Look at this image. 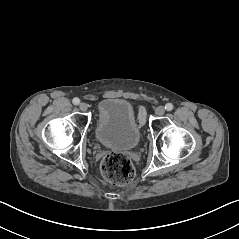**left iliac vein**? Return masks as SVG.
<instances>
[{"label":"left iliac vein","mask_w":239,"mask_h":239,"mask_svg":"<svg viewBox=\"0 0 239 239\" xmlns=\"http://www.w3.org/2000/svg\"><path fill=\"white\" fill-rule=\"evenodd\" d=\"M164 113H165V109H164L163 106H158L155 109V114L158 115V116H162Z\"/></svg>","instance_id":"1"}]
</instances>
